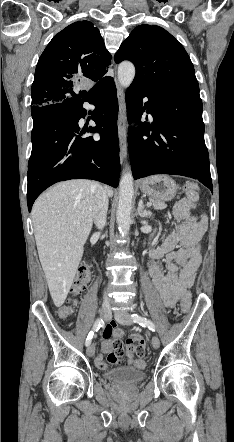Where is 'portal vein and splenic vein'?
I'll return each instance as SVG.
<instances>
[{"label": "portal vein and splenic vein", "instance_id": "1", "mask_svg": "<svg viewBox=\"0 0 234 442\" xmlns=\"http://www.w3.org/2000/svg\"><path fill=\"white\" fill-rule=\"evenodd\" d=\"M152 205V203L151 202H149V203H147V206L149 207V206H151ZM77 224H79V223H77Z\"/></svg>", "mask_w": 234, "mask_h": 442}]
</instances>
